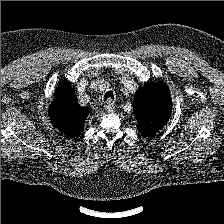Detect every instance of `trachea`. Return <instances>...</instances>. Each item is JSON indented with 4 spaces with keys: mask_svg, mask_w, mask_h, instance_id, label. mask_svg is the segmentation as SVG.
<instances>
[{
    "mask_svg": "<svg viewBox=\"0 0 224 224\" xmlns=\"http://www.w3.org/2000/svg\"><path fill=\"white\" fill-rule=\"evenodd\" d=\"M114 98V95L111 91H108L105 95H104V101L106 99H113Z\"/></svg>",
    "mask_w": 224,
    "mask_h": 224,
    "instance_id": "obj_1",
    "label": "trachea"
}]
</instances>
